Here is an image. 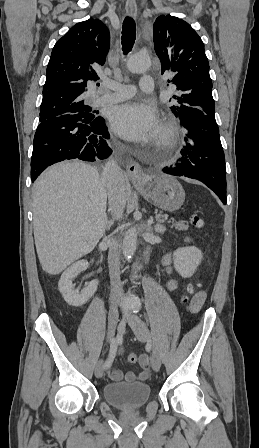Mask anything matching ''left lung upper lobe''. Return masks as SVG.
Returning <instances> with one entry per match:
<instances>
[{
	"instance_id": "obj_1",
	"label": "left lung upper lobe",
	"mask_w": 259,
	"mask_h": 448,
	"mask_svg": "<svg viewBox=\"0 0 259 448\" xmlns=\"http://www.w3.org/2000/svg\"><path fill=\"white\" fill-rule=\"evenodd\" d=\"M154 49L165 71L175 75L168 83L179 91L173 99L179 105L171 110L176 117L189 108L214 114L212 80L204 44L192 27L171 15L159 16L153 25Z\"/></svg>"
}]
</instances>
